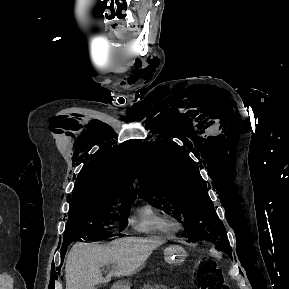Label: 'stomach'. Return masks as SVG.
<instances>
[{
    "mask_svg": "<svg viewBox=\"0 0 289 289\" xmlns=\"http://www.w3.org/2000/svg\"><path fill=\"white\" fill-rule=\"evenodd\" d=\"M186 256L185 249L180 245H171L164 250V259L169 264H182ZM113 289H129V286L126 282H119Z\"/></svg>",
    "mask_w": 289,
    "mask_h": 289,
    "instance_id": "stomach-1",
    "label": "stomach"
}]
</instances>
